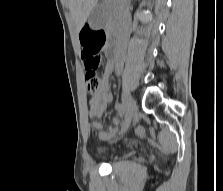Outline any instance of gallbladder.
<instances>
[{
  "mask_svg": "<svg viewBox=\"0 0 223 191\" xmlns=\"http://www.w3.org/2000/svg\"><path fill=\"white\" fill-rule=\"evenodd\" d=\"M105 12L100 8L96 7L90 14L88 22L92 29H99L103 27L105 21Z\"/></svg>",
  "mask_w": 223,
  "mask_h": 191,
  "instance_id": "gallbladder-1",
  "label": "gallbladder"
}]
</instances>
